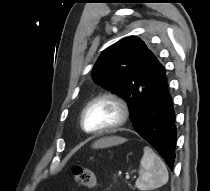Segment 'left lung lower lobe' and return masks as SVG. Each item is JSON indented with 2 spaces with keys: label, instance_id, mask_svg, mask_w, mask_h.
I'll list each match as a JSON object with an SVG mask.
<instances>
[{
  "label": "left lung lower lobe",
  "instance_id": "left-lung-lower-lobe-1",
  "mask_svg": "<svg viewBox=\"0 0 210 191\" xmlns=\"http://www.w3.org/2000/svg\"><path fill=\"white\" fill-rule=\"evenodd\" d=\"M156 82L151 92L139 104L132 125L135 131L157 150L172 170L177 130L164 67L158 69Z\"/></svg>",
  "mask_w": 210,
  "mask_h": 191
}]
</instances>
